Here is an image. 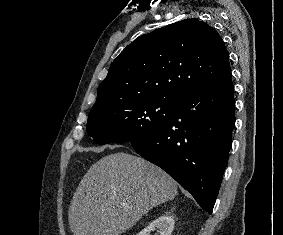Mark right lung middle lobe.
Listing matches in <instances>:
<instances>
[{
  "label": "right lung middle lobe",
  "mask_w": 283,
  "mask_h": 235,
  "mask_svg": "<svg viewBox=\"0 0 283 235\" xmlns=\"http://www.w3.org/2000/svg\"><path fill=\"white\" fill-rule=\"evenodd\" d=\"M169 97H133L92 107L88 135L98 144L144 138L170 118L175 105Z\"/></svg>",
  "instance_id": "dd1d6c3e"
}]
</instances>
